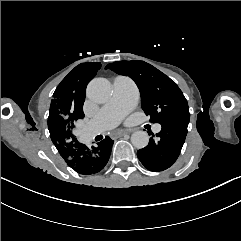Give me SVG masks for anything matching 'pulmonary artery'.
Wrapping results in <instances>:
<instances>
[{
  "instance_id": "1",
  "label": "pulmonary artery",
  "mask_w": 241,
  "mask_h": 241,
  "mask_svg": "<svg viewBox=\"0 0 241 241\" xmlns=\"http://www.w3.org/2000/svg\"><path fill=\"white\" fill-rule=\"evenodd\" d=\"M113 88L111 99L100 108L98 115L90 119L92 130L108 131L119 123L120 117L126 116L134 109L138 96L132 80L128 77H118L114 80ZM153 129L158 133L162 128L157 124Z\"/></svg>"
}]
</instances>
